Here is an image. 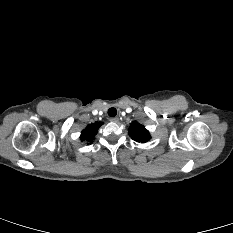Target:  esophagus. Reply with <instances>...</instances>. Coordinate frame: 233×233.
Instances as JSON below:
<instances>
[{
    "mask_svg": "<svg viewBox=\"0 0 233 233\" xmlns=\"http://www.w3.org/2000/svg\"><path fill=\"white\" fill-rule=\"evenodd\" d=\"M110 121L113 123H118L119 119L117 117L110 118Z\"/></svg>",
    "mask_w": 233,
    "mask_h": 233,
    "instance_id": "1",
    "label": "esophagus"
}]
</instances>
